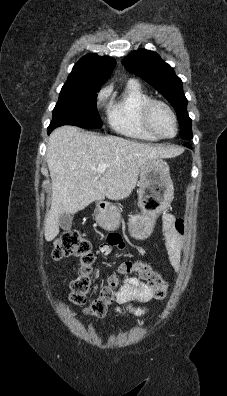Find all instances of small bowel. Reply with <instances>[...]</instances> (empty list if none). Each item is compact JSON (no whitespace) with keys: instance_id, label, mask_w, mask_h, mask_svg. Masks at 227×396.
Segmentation results:
<instances>
[{"instance_id":"c3829d8e","label":"small bowel","mask_w":227,"mask_h":396,"mask_svg":"<svg viewBox=\"0 0 227 396\" xmlns=\"http://www.w3.org/2000/svg\"><path fill=\"white\" fill-rule=\"evenodd\" d=\"M162 230L165 248L171 265L175 270H179L182 255V237L185 232L183 221L176 219L171 214H164ZM122 247L123 241L121 236L118 234H109L105 242L101 244L100 250L103 254L107 255L113 248ZM153 295L154 291L150 285L134 276H128L116 291L115 300L117 306L114 308V312L120 315L129 313L136 317H141L148 311V308L144 304L149 302L153 298Z\"/></svg>"}]
</instances>
